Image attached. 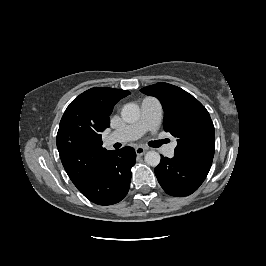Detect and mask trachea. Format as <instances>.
I'll use <instances>...</instances> for the list:
<instances>
[{
	"label": "trachea",
	"mask_w": 266,
	"mask_h": 266,
	"mask_svg": "<svg viewBox=\"0 0 266 266\" xmlns=\"http://www.w3.org/2000/svg\"><path fill=\"white\" fill-rule=\"evenodd\" d=\"M166 142H167V140L164 139V140H161V141H155V142H153V143H156V144L154 145V147H159L161 144H164V143H166Z\"/></svg>",
	"instance_id": "obj_1"
}]
</instances>
